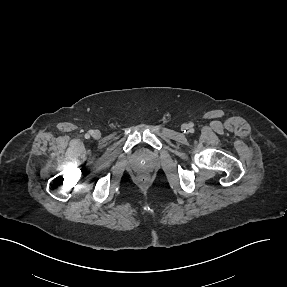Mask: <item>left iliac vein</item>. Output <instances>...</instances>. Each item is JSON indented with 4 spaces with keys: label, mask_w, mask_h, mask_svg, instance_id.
<instances>
[{
    "label": "left iliac vein",
    "mask_w": 287,
    "mask_h": 287,
    "mask_svg": "<svg viewBox=\"0 0 287 287\" xmlns=\"http://www.w3.org/2000/svg\"><path fill=\"white\" fill-rule=\"evenodd\" d=\"M183 127H184V128H187V126H186V125H184Z\"/></svg>",
    "instance_id": "1"
}]
</instances>
